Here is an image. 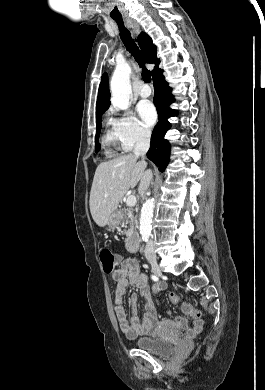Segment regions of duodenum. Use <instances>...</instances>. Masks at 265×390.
<instances>
[{
  "mask_svg": "<svg viewBox=\"0 0 265 390\" xmlns=\"http://www.w3.org/2000/svg\"><path fill=\"white\" fill-rule=\"evenodd\" d=\"M117 221H121L123 219V215L118 213L116 215ZM127 249L131 252H137L140 249L139 239L135 235H131L127 240Z\"/></svg>",
  "mask_w": 265,
  "mask_h": 390,
  "instance_id": "obj_1",
  "label": "duodenum"
}]
</instances>
